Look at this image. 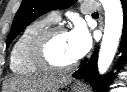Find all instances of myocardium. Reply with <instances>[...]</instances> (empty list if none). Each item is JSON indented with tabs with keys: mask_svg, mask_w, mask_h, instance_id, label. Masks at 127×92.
<instances>
[{
	"mask_svg": "<svg viewBox=\"0 0 127 92\" xmlns=\"http://www.w3.org/2000/svg\"><path fill=\"white\" fill-rule=\"evenodd\" d=\"M60 33H67L62 25H50L39 31L31 41L29 48L30 59L40 70L53 73H66L74 69L78 62L75 60L67 65L54 63L49 55L53 38Z\"/></svg>",
	"mask_w": 127,
	"mask_h": 92,
	"instance_id": "f54148a6",
	"label": "myocardium"
}]
</instances>
